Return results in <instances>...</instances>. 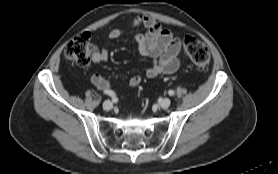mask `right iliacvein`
I'll return each instance as SVG.
<instances>
[{
    "label": "right iliac vein",
    "instance_id": "right-iliac-vein-1",
    "mask_svg": "<svg viewBox=\"0 0 278 174\" xmlns=\"http://www.w3.org/2000/svg\"><path fill=\"white\" fill-rule=\"evenodd\" d=\"M112 107H113V104L111 101H109V100L104 101V103H103L104 110L109 111L112 109Z\"/></svg>",
    "mask_w": 278,
    "mask_h": 174
}]
</instances>
